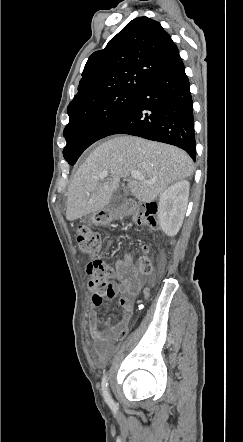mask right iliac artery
<instances>
[{"label":"right iliac artery","instance_id":"1","mask_svg":"<svg viewBox=\"0 0 243 442\" xmlns=\"http://www.w3.org/2000/svg\"><path fill=\"white\" fill-rule=\"evenodd\" d=\"M102 392H103V397H104L106 403L109 405V407L112 410H115L117 406L109 393L108 376L106 374L102 378Z\"/></svg>","mask_w":243,"mask_h":442}]
</instances>
